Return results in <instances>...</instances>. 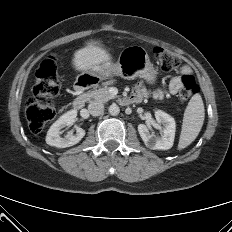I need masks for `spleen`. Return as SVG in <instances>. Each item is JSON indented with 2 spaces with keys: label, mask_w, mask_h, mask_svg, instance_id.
Segmentation results:
<instances>
[{
  "label": "spleen",
  "mask_w": 232,
  "mask_h": 232,
  "mask_svg": "<svg viewBox=\"0 0 232 232\" xmlns=\"http://www.w3.org/2000/svg\"><path fill=\"white\" fill-rule=\"evenodd\" d=\"M204 117L205 109L202 98L199 94H195L184 112L178 150L186 148L196 139L203 126Z\"/></svg>",
  "instance_id": "spleen-1"
}]
</instances>
